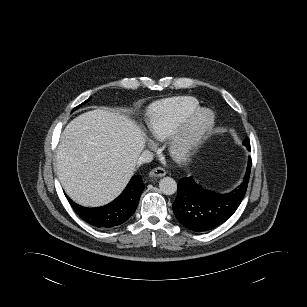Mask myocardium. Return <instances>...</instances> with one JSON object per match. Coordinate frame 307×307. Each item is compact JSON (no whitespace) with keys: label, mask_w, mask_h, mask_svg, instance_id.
<instances>
[{"label":"myocardium","mask_w":307,"mask_h":307,"mask_svg":"<svg viewBox=\"0 0 307 307\" xmlns=\"http://www.w3.org/2000/svg\"><path fill=\"white\" fill-rule=\"evenodd\" d=\"M215 114L207 108L196 109L170 137L169 152L178 161L188 160L213 130Z\"/></svg>","instance_id":"f54148a6"}]
</instances>
